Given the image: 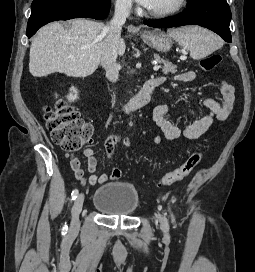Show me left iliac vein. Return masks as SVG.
Segmentation results:
<instances>
[{
    "mask_svg": "<svg viewBox=\"0 0 255 272\" xmlns=\"http://www.w3.org/2000/svg\"><path fill=\"white\" fill-rule=\"evenodd\" d=\"M160 228H161L162 232H164L165 234H168L169 225H168L167 218L165 216H162L160 218Z\"/></svg>",
    "mask_w": 255,
    "mask_h": 272,
    "instance_id": "4c4485c4",
    "label": "left iliac vein"
}]
</instances>
